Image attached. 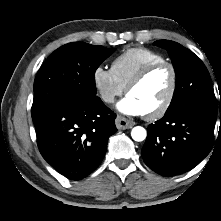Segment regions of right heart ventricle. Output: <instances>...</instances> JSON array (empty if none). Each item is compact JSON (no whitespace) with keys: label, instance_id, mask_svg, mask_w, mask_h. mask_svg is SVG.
Instances as JSON below:
<instances>
[{"label":"right heart ventricle","instance_id":"e07e8e85","mask_svg":"<svg viewBox=\"0 0 221 221\" xmlns=\"http://www.w3.org/2000/svg\"><path fill=\"white\" fill-rule=\"evenodd\" d=\"M165 61L158 52L144 47H133L119 54L111 64L116 79L126 87L130 80L145 66Z\"/></svg>","mask_w":221,"mask_h":221}]
</instances>
